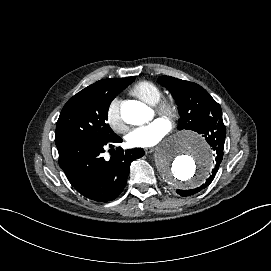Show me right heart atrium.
Wrapping results in <instances>:
<instances>
[{
    "label": "right heart atrium",
    "instance_id": "right-heart-atrium-1",
    "mask_svg": "<svg viewBox=\"0 0 271 271\" xmlns=\"http://www.w3.org/2000/svg\"><path fill=\"white\" fill-rule=\"evenodd\" d=\"M121 99L119 96H113L106 107V121L113 130L119 133L126 131L127 126L119 109Z\"/></svg>",
    "mask_w": 271,
    "mask_h": 271
}]
</instances>
